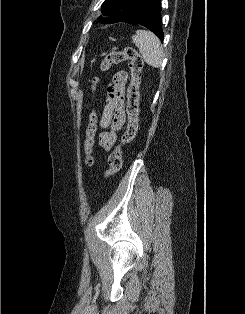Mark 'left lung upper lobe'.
I'll return each mask as SVG.
<instances>
[{"label":"left lung upper lobe","instance_id":"left-lung-upper-lobe-1","mask_svg":"<svg viewBox=\"0 0 245 314\" xmlns=\"http://www.w3.org/2000/svg\"><path fill=\"white\" fill-rule=\"evenodd\" d=\"M146 0H105L101 6L102 23L128 22L141 9Z\"/></svg>","mask_w":245,"mask_h":314}]
</instances>
